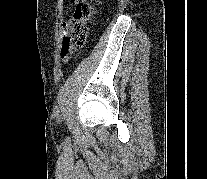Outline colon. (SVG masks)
I'll list each match as a JSON object with an SVG mask.
<instances>
[{"label": "colon", "instance_id": "5ec220e1", "mask_svg": "<svg viewBox=\"0 0 207 179\" xmlns=\"http://www.w3.org/2000/svg\"><path fill=\"white\" fill-rule=\"evenodd\" d=\"M75 3L72 18L66 24L62 43V54L68 57L72 49L85 45L88 36V24L94 15V4L86 0H73ZM98 2V0H94Z\"/></svg>", "mask_w": 207, "mask_h": 179}]
</instances>
